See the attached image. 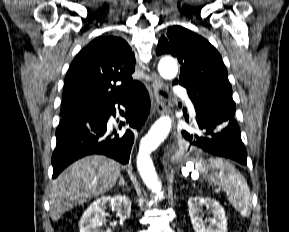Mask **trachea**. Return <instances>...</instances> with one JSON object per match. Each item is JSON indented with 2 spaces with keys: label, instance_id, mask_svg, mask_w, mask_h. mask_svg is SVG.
Listing matches in <instances>:
<instances>
[{
  "label": "trachea",
  "instance_id": "1",
  "mask_svg": "<svg viewBox=\"0 0 289 232\" xmlns=\"http://www.w3.org/2000/svg\"><path fill=\"white\" fill-rule=\"evenodd\" d=\"M162 95L166 96V94H164L163 92H160Z\"/></svg>",
  "mask_w": 289,
  "mask_h": 232
}]
</instances>
